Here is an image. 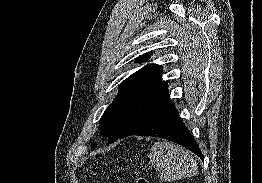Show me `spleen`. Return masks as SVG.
Instances as JSON below:
<instances>
[{
  "label": "spleen",
  "instance_id": "obj_1",
  "mask_svg": "<svg viewBox=\"0 0 262 183\" xmlns=\"http://www.w3.org/2000/svg\"><path fill=\"white\" fill-rule=\"evenodd\" d=\"M150 163L161 170L160 179L176 181L193 176L196 162L192 155L180 146L170 142H156L149 153Z\"/></svg>",
  "mask_w": 262,
  "mask_h": 183
}]
</instances>
